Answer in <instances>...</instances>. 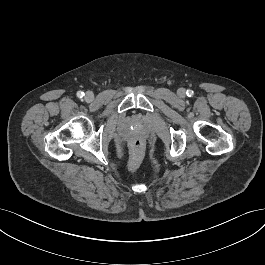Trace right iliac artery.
<instances>
[{"instance_id": "82829eb1", "label": "right iliac artery", "mask_w": 265, "mask_h": 265, "mask_svg": "<svg viewBox=\"0 0 265 265\" xmlns=\"http://www.w3.org/2000/svg\"><path fill=\"white\" fill-rule=\"evenodd\" d=\"M84 95H85V94H84L82 91H78V92H77V96H78L79 98H82Z\"/></svg>"}]
</instances>
